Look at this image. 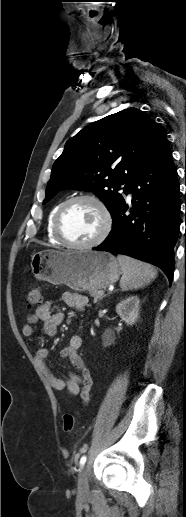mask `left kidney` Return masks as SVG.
<instances>
[{
    "label": "left kidney",
    "mask_w": 186,
    "mask_h": 517,
    "mask_svg": "<svg viewBox=\"0 0 186 517\" xmlns=\"http://www.w3.org/2000/svg\"><path fill=\"white\" fill-rule=\"evenodd\" d=\"M140 300L137 296H130L116 305V312L127 325H133L139 315Z\"/></svg>",
    "instance_id": "obj_1"
}]
</instances>
